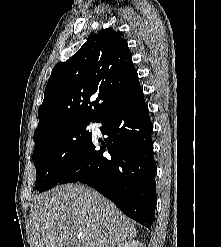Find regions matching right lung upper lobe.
Returning a JSON list of instances; mask_svg holds the SVG:
<instances>
[{"label":"right lung upper lobe","mask_w":221,"mask_h":247,"mask_svg":"<svg viewBox=\"0 0 221 247\" xmlns=\"http://www.w3.org/2000/svg\"><path fill=\"white\" fill-rule=\"evenodd\" d=\"M140 88L121 32L101 30L52 70L38 109L39 125L34 137L68 122H96ZM92 96H97L93 102Z\"/></svg>","instance_id":"cb5924a9"}]
</instances>
